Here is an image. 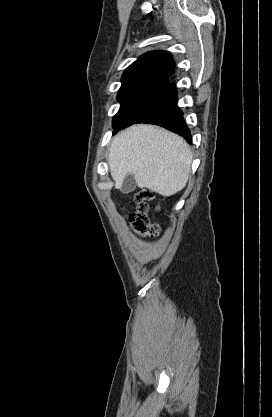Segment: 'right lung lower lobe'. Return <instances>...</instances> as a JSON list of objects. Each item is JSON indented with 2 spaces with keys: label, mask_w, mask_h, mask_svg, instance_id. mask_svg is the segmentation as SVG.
I'll list each match as a JSON object with an SVG mask.
<instances>
[{
  "label": "right lung lower lobe",
  "mask_w": 272,
  "mask_h": 417,
  "mask_svg": "<svg viewBox=\"0 0 272 417\" xmlns=\"http://www.w3.org/2000/svg\"><path fill=\"white\" fill-rule=\"evenodd\" d=\"M134 123L162 126L181 135L188 143H191L192 136L184 123L183 113L177 107V91L173 84L168 83L146 112L132 124Z\"/></svg>",
  "instance_id": "98d812e1"
}]
</instances>
